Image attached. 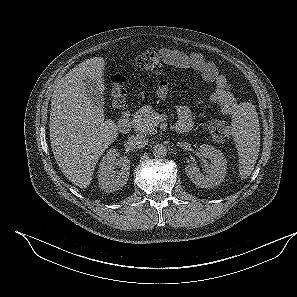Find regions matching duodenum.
<instances>
[{
    "label": "duodenum",
    "mask_w": 297,
    "mask_h": 297,
    "mask_svg": "<svg viewBox=\"0 0 297 297\" xmlns=\"http://www.w3.org/2000/svg\"><path fill=\"white\" fill-rule=\"evenodd\" d=\"M117 127L119 131L123 134H126L131 129V119L130 112L124 111L118 120ZM191 129V126L188 123H177L176 131L178 133H187Z\"/></svg>",
    "instance_id": "duodenum-1"
}]
</instances>
